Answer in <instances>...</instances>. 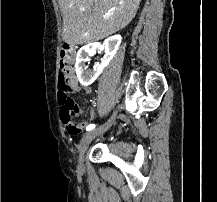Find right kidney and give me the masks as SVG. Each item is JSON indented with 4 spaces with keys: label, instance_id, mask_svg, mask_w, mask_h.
I'll use <instances>...</instances> for the list:
<instances>
[{
    "label": "right kidney",
    "instance_id": "right-kidney-1",
    "mask_svg": "<svg viewBox=\"0 0 217 202\" xmlns=\"http://www.w3.org/2000/svg\"><path fill=\"white\" fill-rule=\"evenodd\" d=\"M121 42V36H111V38H107V40H105L103 44L105 48V56L102 58L99 70H96V72H93V70H87V66H85V64L86 62H89L90 56H93L94 52H96L98 42H95V44H87V46L80 48L76 58L75 72L82 86H90V84L95 82L96 78H98L99 74H101L103 68H106L109 62H111L113 56H115Z\"/></svg>",
    "mask_w": 217,
    "mask_h": 202
}]
</instances>
